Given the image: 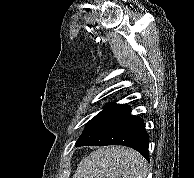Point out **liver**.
Returning a JSON list of instances; mask_svg holds the SVG:
<instances>
[{
	"mask_svg": "<svg viewBox=\"0 0 194 178\" xmlns=\"http://www.w3.org/2000/svg\"><path fill=\"white\" fill-rule=\"evenodd\" d=\"M147 161L135 150L100 147L78 164L73 178H146Z\"/></svg>",
	"mask_w": 194,
	"mask_h": 178,
	"instance_id": "liver-1",
	"label": "liver"
}]
</instances>
